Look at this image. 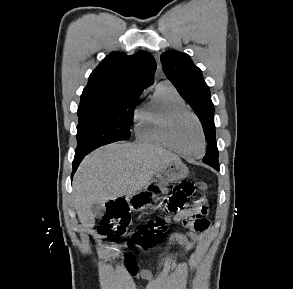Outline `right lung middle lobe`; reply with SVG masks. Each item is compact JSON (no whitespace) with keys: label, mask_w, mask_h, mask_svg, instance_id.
<instances>
[{"label":"right lung middle lobe","mask_w":293,"mask_h":289,"mask_svg":"<svg viewBox=\"0 0 293 289\" xmlns=\"http://www.w3.org/2000/svg\"><path fill=\"white\" fill-rule=\"evenodd\" d=\"M135 98L80 103L76 152L92 151L102 145L128 140L133 114L127 113V107Z\"/></svg>","instance_id":"right-lung-middle-lobe-1"}]
</instances>
